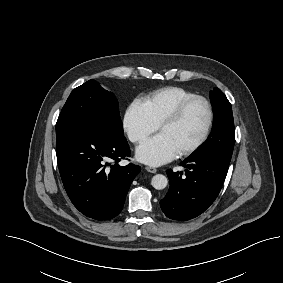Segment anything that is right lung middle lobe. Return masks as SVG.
<instances>
[{"instance_id": "obj_1", "label": "right lung middle lobe", "mask_w": 283, "mask_h": 283, "mask_svg": "<svg viewBox=\"0 0 283 283\" xmlns=\"http://www.w3.org/2000/svg\"><path fill=\"white\" fill-rule=\"evenodd\" d=\"M86 122H100L124 136L116 97L95 80H89L71 92L58 117L56 136Z\"/></svg>"}]
</instances>
